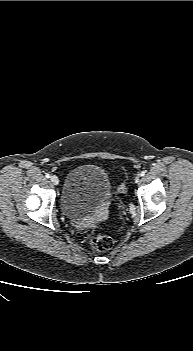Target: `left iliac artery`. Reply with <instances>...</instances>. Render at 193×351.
I'll return each instance as SVG.
<instances>
[{"label": "left iliac artery", "mask_w": 193, "mask_h": 351, "mask_svg": "<svg viewBox=\"0 0 193 351\" xmlns=\"http://www.w3.org/2000/svg\"><path fill=\"white\" fill-rule=\"evenodd\" d=\"M145 173H146V171H141V172H140V176H144Z\"/></svg>", "instance_id": "left-iliac-artery-1"}]
</instances>
